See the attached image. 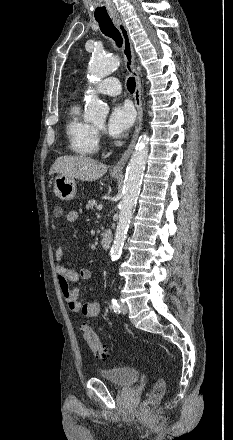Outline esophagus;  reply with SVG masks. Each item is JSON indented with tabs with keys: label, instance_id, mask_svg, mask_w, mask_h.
I'll return each instance as SVG.
<instances>
[{
	"label": "esophagus",
	"instance_id": "1",
	"mask_svg": "<svg viewBox=\"0 0 233 440\" xmlns=\"http://www.w3.org/2000/svg\"><path fill=\"white\" fill-rule=\"evenodd\" d=\"M113 22H114L115 26L118 28V30L122 36V39H123V49L122 50H123V54L126 59V67L129 70V72L131 74H133L135 77L136 88H135V93H134V102H135V106H136L137 112H138L136 126H135L132 141H131L129 147L127 148V150L122 154V156L120 157L118 162L115 165H113L110 169V171L112 173L121 174L126 162L128 161V159H129V157L135 147L137 138L139 136L140 129L142 126L143 109H142V102H141V82H140L139 74L134 67L135 55H134L132 41L130 39L128 29H127L121 16L114 17Z\"/></svg>",
	"mask_w": 233,
	"mask_h": 440
}]
</instances>
